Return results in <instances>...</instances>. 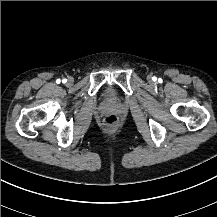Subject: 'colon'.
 <instances>
[{
	"mask_svg": "<svg viewBox=\"0 0 217 217\" xmlns=\"http://www.w3.org/2000/svg\"><path fill=\"white\" fill-rule=\"evenodd\" d=\"M105 122L108 126L110 127H115L118 123V118L115 115H109L106 119Z\"/></svg>",
	"mask_w": 217,
	"mask_h": 217,
	"instance_id": "obj_1",
	"label": "colon"
}]
</instances>
